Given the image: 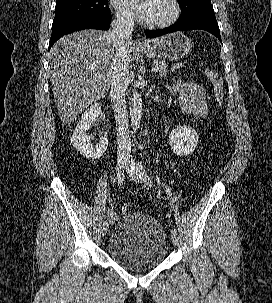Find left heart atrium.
Segmentation results:
<instances>
[{
    "label": "left heart atrium",
    "mask_w": 272,
    "mask_h": 303,
    "mask_svg": "<svg viewBox=\"0 0 272 303\" xmlns=\"http://www.w3.org/2000/svg\"><path fill=\"white\" fill-rule=\"evenodd\" d=\"M127 4L138 18L148 20L150 17L153 0H127Z\"/></svg>",
    "instance_id": "1"
}]
</instances>
